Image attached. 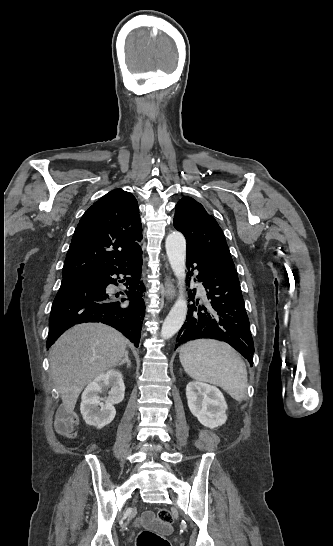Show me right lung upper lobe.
<instances>
[{
    "instance_id": "obj_1",
    "label": "right lung upper lobe",
    "mask_w": 333,
    "mask_h": 546,
    "mask_svg": "<svg viewBox=\"0 0 333 546\" xmlns=\"http://www.w3.org/2000/svg\"><path fill=\"white\" fill-rule=\"evenodd\" d=\"M141 239L137 200L122 189L110 191L80 219L66 255L62 281L125 265L142 253L136 242Z\"/></svg>"
}]
</instances>
